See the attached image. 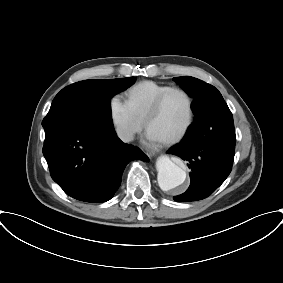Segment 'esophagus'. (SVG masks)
Listing matches in <instances>:
<instances>
[{
    "label": "esophagus",
    "mask_w": 283,
    "mask_h": 283,
    "mask_svg": "<svg viewBox=\"0 0 283 283\" xmlns=\"http://www.w3.org/2000/svg\"><path fill=\"white\" fill-rule=\"evenodd\" d=\"M147 155H148L149 157H152V156H154V155H155V152H153V151H149V152L147 153Z\"/></svg>",
    "instance_id": "esophagus-1"
}]
</instances>
